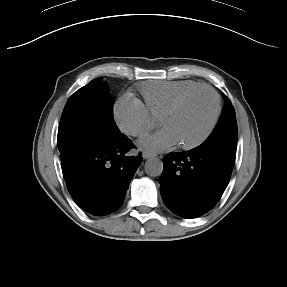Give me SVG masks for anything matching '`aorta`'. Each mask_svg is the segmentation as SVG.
<instances>
[{"label": "aorta", "mask_w": 287, "mask_h": 287, "mask_svg": "<svg viewBox=\"0 0 287 287\" xmlns=\"http://www.w3.org/2000/svg\"><path fill=\"white\" fill-rule=\"evenodd\" d=\"M146 174L156 177L160 176L163 172V162L158 158H150L145 163Z\"/></svg>", "instance_id": "762f6f07"}]
</instances>
